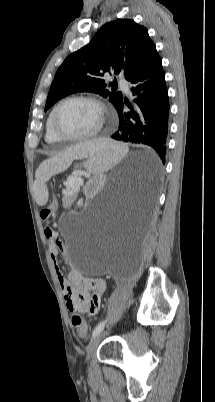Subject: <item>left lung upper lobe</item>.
Wrapping results in <instances>:
<instances>
[{
    "label": "left lung upper lobe",
    "instance_id": "5c2ea615",
    "mask_svg": "<svg viewBox=\"0 0 215 402\" xmlns=\"http://www.w3.org/2000/svg\"><path fill=\"white\" fill-rule=\"evenodd\" d=\"M159 57L145 27L131 19H117L103 25L90 43L68 56L51 84L45 111L61 98L75 92H94L115 106L120 92L107 89L105 73H124L127 80ZM112 88L113 83L109 84Z\"/></svg>",
    "mask_w": 215,
    "mask_h": 402
}]
</instances>
